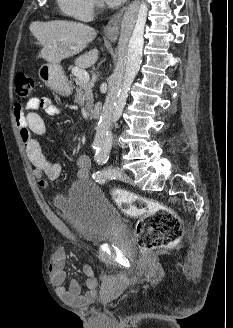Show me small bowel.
<instances>
[{
    "instance_id": "small-bowel-1",
    "label": "small bowel",
    "mask_w": 233,
    "mask_h": 328,
    "mask_svg": "<svg viewBox=\"0 0 233 328\" xmlns=\"http://www.w3.org/2000/svg\"><path fill=\"white\" fill-rule=\"evenodd\" d=\"M44 110L51 117L58 116L60 109L53 104L48 97L31 98L25 106L16 104L14 107V117L19 130L26 154L33 165V174L41 187H46L48 181L59 177L61 167L59 164L50 161L43 153L36 135H43L46 127L38 110ZM77 172L79 179L88 177L90 168V159L86 155H79L76 158ZM66 261V252L63 249H57L51 256L49 262V273L51 280L56 287L58 296L67 303L82 305L91 302L97 292L98 281L90 265L85 264L82 267V274L85 277L86 291L82 289L77 281L72 280L68 287L64 286L66 272L64 269Z\"/></svg>"
}]
</instances>
